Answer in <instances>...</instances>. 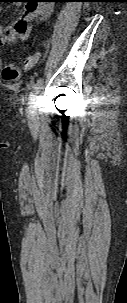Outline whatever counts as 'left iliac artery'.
Masks as SVG:
<instances>
[{"label": "left iliac artery", "mask_w": 127, "mask_h": 303, "mask_svg": "<svg viewBox=\"0 0 127 303\" xmlns=\"http://www.w3.org/2000/svg\"><path fill=\"white\" fill-rule=\"evenodd\" d=\"M43 84V78H40L37 80V82L32 86L30 93H29V100L33 101L35 99V96L39 90V88L41 87V85Z\"/></svg>", "instance_id": "left-iliac-artery-1"}]
</instances>
